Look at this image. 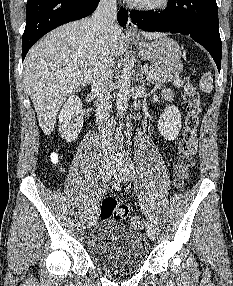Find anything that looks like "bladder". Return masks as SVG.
Segmentation results:
<instances>
[{
  "label": "bladder",
  "instance_id": "1",
  "mask_svg": "<svg viewBox=\"0 0 233 286\" xmlns=\"http://www.w3.org/2000/svg\"><path fill=\"white\" fill-rule=\"evenodd\" d=\"M87 246L94 265L107 271L137 270L150 252L141 233L111 218L101 221Z\"/></svg>",
  "mask_w": 233,
  "mask_h": 286
}]
</instances>
